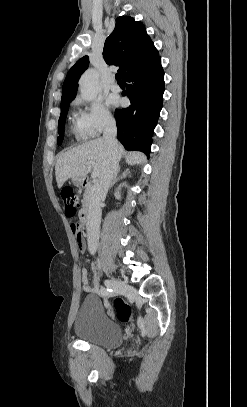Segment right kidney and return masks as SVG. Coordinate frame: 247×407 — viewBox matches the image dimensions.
<instances>
[{"mask_svg": "<svg viewBox=\"0 0 247 407\" xmlns=\"http://www.w3.org/2000/svg\"><path fill=\"white\" fill-rule=\"evenodd\" d=\"M115 196H116L117 199H120V194H119L118 191L115 193Z\"/></svg>", "mask_w": 247, "mask_h": 407, "instance_id": "1", "label": "right kidney"}]
</instances>
